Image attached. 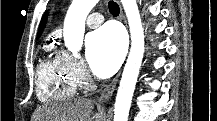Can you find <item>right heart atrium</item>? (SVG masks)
Here are the masks:
<instances>
[{"instance_id":"d8ad5b80","label":"right heart atrium","mask_w":217,"mask_h":121,"mask_svg":"<svg viewBox=\"0 0 217 121\" xmlns=\"http://www.w3.org/2000/svg\"><path fill=\"white\" fill-rule=\"evenodd\" d=\"M63 59L69 65L73 76L80 84L85 85L90 81V76L82 61L76 60L68 55H65Z\"/></svg>"}]
</instances>
